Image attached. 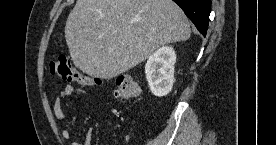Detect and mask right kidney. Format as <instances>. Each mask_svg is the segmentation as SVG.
Wrapping results in <instances>:
<instances>
[{
	"label": "right kidney",
	"mask_w": 276,
	"mask_h": 145,
	"mask_svg": "<svg viewBox=\"0 0 276 145\" xmlns=\"http://www.w3.org/2000/svg\"><path fill=\"white\" fill-rule=\"evenodd\" d=\"M176 54L172 47L163 46L149 56L145 74L151 92L158 97L166 96L174 83Z\"/></svg>",
	"instance_id": "ca27d5eb"
}]
</instances>
